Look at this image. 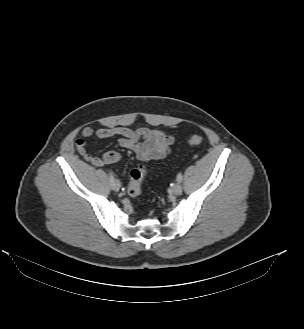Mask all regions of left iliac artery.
I'll use <instances>...</instances> for the list:
<instances>
[{
	"label": "left iliac artery",
	"mask_w": 304,
	"mask_h": 329,
	"mask_svg": "<svg viewBox=\"0 0 304 329\" xmlns=\"http://www.w3.org/2000/svg\"><path fill=\"white\" fill-rule=\"evenodd\" d=\"M176 179L180 183L182 181V174L178 173Z\"/></svg>",
	"instance_id": "44dca946"
}]
</instances>
